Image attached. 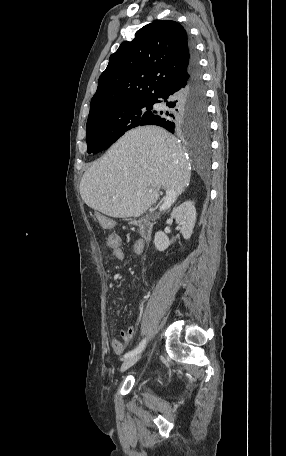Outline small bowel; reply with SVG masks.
<instances>
[{"mask_svg": "<svg viewBox=\"0 0 286 456\" xmlns=\"http://www.w3.org/2000/svg\"><path fill=\"white\" fill-rule=\"evenodd\" d=\"M113 237V241H110V239ZM107 245L111 249V255L115 260H124L126 257V253L124 249L121 246V238L117 234H110L107 238ZM144 250V243L140 240L136 241L130 250V253L132 255H140ZM120 336L123 340H117L113 339L112 340V348L114 352L117 355H121L124 350H125V344L124 343H129L133 340L135 336V328L134 327H128L126 329H123L120 331Z\"/></svg>", "mask_w": 286, "mask_h": 456, "instance_id": "1", "label": "small bowel"}]
</instances>
